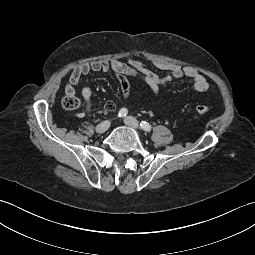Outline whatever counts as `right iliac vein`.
<instances>
[{
    "mask_svg": "<svg viewBox=\"0 0 255 255\" xmlns=\"http://www.w3.org/2000/svg\"><path fill=\"white\" fill-rule=\"evenodd\" d=\"M110 127V121H103L96 126V132L98 134L105 133Z\"/></svg>",
    "mask_w": 255,
    "mask_h": 255,
    "instance_id": "63e3f726",
    "label": "right iliac vein"
}]
</instances>
